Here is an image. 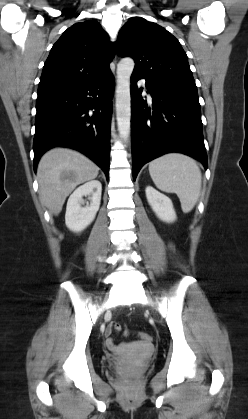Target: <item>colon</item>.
Segmentation results:
<instances>
[{
	"mask_svg": "<svg viewBox=\"0 0 248 419\" xmlns=\"http://www.w3.org/2000/svg\"><path fill=\"white\" fill-rule=\"evenodd\" d=\"M120 325L118 324V323H114V324H112L111 326H110V332L111 331H113V330H119L120 329ZM127 333V332H126ZM138 337H139V339L141 340V341H143V342H151V340H152V338H151V336L149 335V334H147V333H143V332H141V333H139L138 334Z\"/></svg>",
	"mask_w": 248,
	"mask_h": 419,
	"instance_id": "colon-1",
	"label": "colon"
}]
</instances>
